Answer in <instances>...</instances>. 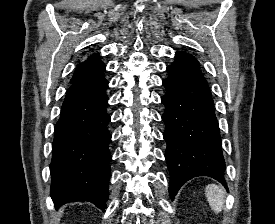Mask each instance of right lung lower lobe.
<instances>
[{"label": "right lung lower lobe", "instance_id": "obj_1", "mask_svg": "<svg viewBox=\"0 0 275 224\" xmlns=\"http://www.w3.org/2000/svg\"><path fill=\"white\" fill-rule=\"evenodd\" d=\"M108 81L103 75L72 84L55 125L50 164L55 206L89 201L104 209L112 155L106 113Z\"/></svg>", "mask_w": 275, "mask_h": 224}]
</instances>
